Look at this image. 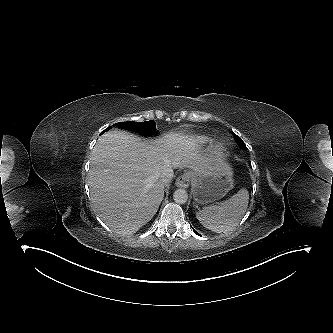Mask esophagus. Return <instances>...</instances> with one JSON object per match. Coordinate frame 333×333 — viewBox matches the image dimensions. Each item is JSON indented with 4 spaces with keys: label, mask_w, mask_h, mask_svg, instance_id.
<instances>
[{
    "label": "esophagus",
    "mask_w": 333,
    "mask_h": 333,
    "mask_svg": "<svg viewBox=\"0 0 333 333\" xmlns=\"http://www.w3.org/2000/svg\"><path fill=\"white\" fill-rule=\"evenodd\" d=\"M191 181V174L189 172L183 173L176 179V186L180 188H187Z\"/></svg>",
    "instance_id": "34e87169"
}]
</instances>
